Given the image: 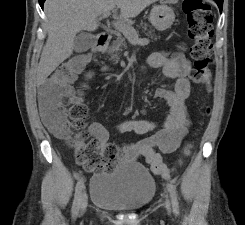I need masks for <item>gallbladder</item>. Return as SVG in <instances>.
Segmentation results:
<instances>
[{"mask_svg":"<svg viewBox=\"0 0 245 225\" xmlns=\"http://www.w3.org/2000/svg\"><path fill=\"white\" fill-rule=\"evenodd\" d=\"M95 43V37L87 32H81L74 40V51L83 53L89 50Z\"/></svg>","mask_w":245,"mask_h":225,"instance_id":"obj_1","label":"gallbladder"}]
</instances>
